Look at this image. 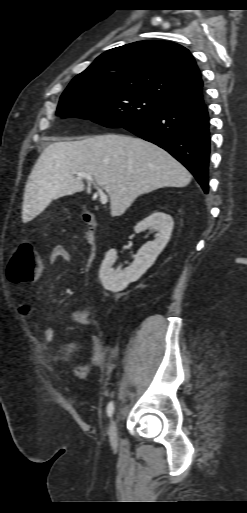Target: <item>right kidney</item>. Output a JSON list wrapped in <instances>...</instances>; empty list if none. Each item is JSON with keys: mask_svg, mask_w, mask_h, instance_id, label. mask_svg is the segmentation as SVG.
Wrapping results in <instances>:
<instances>
[{"mask_svg": "<svg viewBox=\"0 0 247 513\" xmlns=\"http://www.w3.org/2000/svg\"><path fill=\"white\" fill-rule=\"evenodd\" d=\"M174 222L173 218L163 212H154L140 221L134 228L136 233L150 229L157 231L153 241L144 244L138 251L130 267L125 270L112 268L117 258L115 249H111L105 255L99 271V278L103 287L112 292L125 289L130 282L138 280L146 270L152 266L158 255L167 245Z\"/></svg>", "mask_w": 247, "mask_h": 513, "instance_id": "right-kidney-1", "label": "right kidney"}]
</instances>
